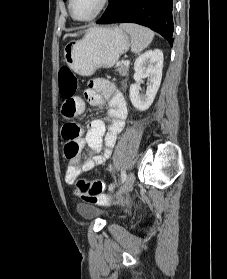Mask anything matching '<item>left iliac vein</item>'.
Masks as SVG:
<instances>
[{
    "mask_svg": "<svg viewBox=\"0 0 227 279\" xmlns=\"http://www.w3.org/2000/svg\"><path fill=\"white\" fill-rule=\"evenodd\" d=\"M135 180V175L133 172H130L122 185V187L119 189V191L114 195V197L118 198L123 196L125 193L129 192L132 188Z\"/></svg>",
    "mask_w": 227,
    "mask_h": 279,
    "instance_id": "4c4485c4",
    "label": "left iliac vein"
}]
</instances>
